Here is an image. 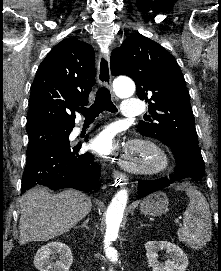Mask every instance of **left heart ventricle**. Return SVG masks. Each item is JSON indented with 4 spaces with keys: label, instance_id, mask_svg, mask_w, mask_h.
<instances>
[{
    "label": "left heart ventricle",
    "instance_id": "left-heart-ventricle-1",
    "mask_svg": "<svg viewBox=\"0 0 221 271\" xmlns=\"http://www.w3.org/2000/svg\"><path fill=\"white\" fill-rule=\"evenodd\" d=\"M132 163H133V164H140V163H141V160H140V159H133V160H132Z\"/></svg>",
    "mask_w": 221,
    "mask_h": 271
}]
</instances>
